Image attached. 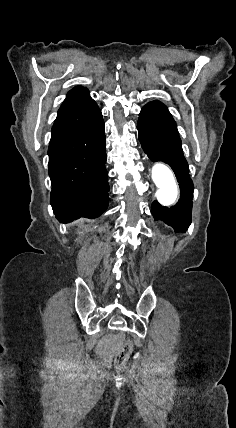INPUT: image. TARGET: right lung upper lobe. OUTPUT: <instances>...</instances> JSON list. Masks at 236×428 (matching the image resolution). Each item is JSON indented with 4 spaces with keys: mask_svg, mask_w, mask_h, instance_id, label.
I'll return each instance as SVG.
<instances>
[{
    "mask_svg": "<svg viewBox=\"0 0 236 428\" xmlns=\"http://www.w3.org/2000/svg\"><path fill=\"white\" fill-rule=\"evenodd\" d=\"M97 106L86 88L77 86L69 91L66 99L58 110V114L69 111H80Z\"/></svg>",
    "mask_w": 236,
    "mask_h": 428,
    "instance_id": "cb5924a9",
    "label": "right lung upper lobe"
}]
</instances>
